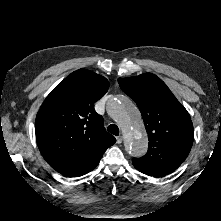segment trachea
<instances>
[{
    "label": "trachea",
    "mask_w": 221,
    "mask_h": 221,
    "mask_svg": "<svg viewBox=\"0 0 221 221\" xmlns=\"http://www.w3.org/2000/svg\"><path fill=\"white\" fill-rule=\"evenodd\" d=\"M107 130H108L111 134H113V135H116V136L119 135V128H118V126L115 125V124L109 125V126L107 127Z\"/></svg>",
    "instance_id": "3493384b"
}]
</instances>
